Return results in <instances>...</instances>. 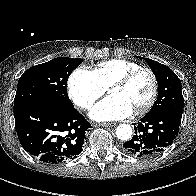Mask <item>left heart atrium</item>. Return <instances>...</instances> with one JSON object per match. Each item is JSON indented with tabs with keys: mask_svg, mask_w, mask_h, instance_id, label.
<instances>
[{
	"mask_svg": "<svg viewBox=\"0 0 196 196\" xmlns=\"http://www.w3.org/2000/svg\"><path fill=\"white\" fill-rule=\"evenodd\" d=\"M133 108L122 98L109 95L97 103L90 112V117L96 121H112L129 117Z\"/></svg>",
	"mask_w": 196,
	"mask_h": 196,
	"instance_id": "1",
	"label": "left heart atrium"
}]
</instances>
